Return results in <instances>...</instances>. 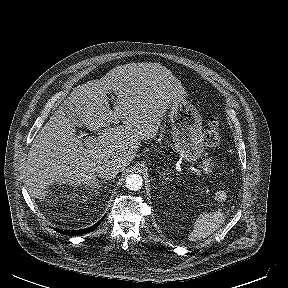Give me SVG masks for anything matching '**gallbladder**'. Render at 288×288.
Segmentation results:
<instances>
[{"mask_svg": "<svg viewBox=\"0 0 288 288\" xmlns=\"http://www.w3.org/2000/svg\"><path fill=\"white\" fill-rule=\"evenodd\" d=\"M70 119H71V122L76 125V126H80L82 125V118L79 114L77 113H71L69 115Z\"/></svg>", "mask_w": 288, "mask_h": 288, "instance_id": "bac80fb5", "label": "gallbladder"}]
</instances>
